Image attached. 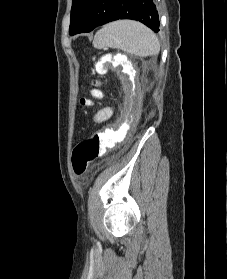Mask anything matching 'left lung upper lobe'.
I'll list each match as a JSON object with an SVG mask.
<instances>
[{
	"mask_svg": "<svg viewBox=\"0 0 227 279\" xmlns=\"http://www.w3.org/2000/svg\"><path fill=\"white\" fill-rule=\"evenodd\" d=\"M93 0H73L69 34L76 33L84 22L85 16Z\"/></svg>",
	"mask_w": 227,
	"mask_h": 279,
	"instance_id": "1",
	"label": "left lung upper lobe"
}]
</instances>
